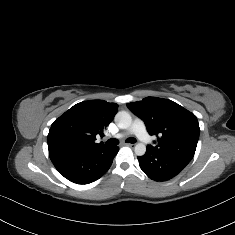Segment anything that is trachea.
Wrapping results in <instances>:
<instances>
[{"instance_id":"obj_1","label":"trachea","mask_w":235,"mask_h":235,"mask_svg":"<svg viewBox=\"0 0 235 235\" xmlns=\"http://www.w3.org/2000/svg\"><path fill=\"white\" fill-rule=\"evenodd\" d=\"M127 143H135L136 142V139L133 138V137H129L127 140H126ZM119 143V141L117 139H109L106 141V144L107 145H111V146H116L117 144Z\"/></svg>"}]
</instances>
